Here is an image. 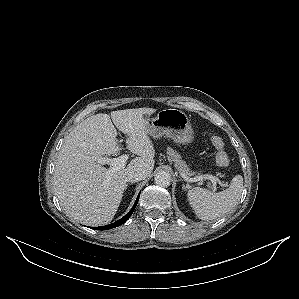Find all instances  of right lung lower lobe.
Listing matches in <instances>:
<instances>
[{"label": "right lung lower lobe", "instance_id": "1", "mask_svg": "<svg viewBox=\"0 0 299 299\" xmlns=\"http://www.w3.org/2000/svg\"><path fill=\"white\" fill-rule=\"evenodd\" d=\"M139 196L140 194L138 195L133 207L131 208V210L129 211L128 214H126L123 218L119 219L118 221L114 222V223H111L109 225H106V226H100V227H93V229L95 230H107V229H112V228H115L117 226H120L122 225L124 222H126L129 217L132 215L134 209L136 208V205L138 203V200H139Z\"/></svg>", "mask_w": 299, "mask_h": 299}]
</instances>
